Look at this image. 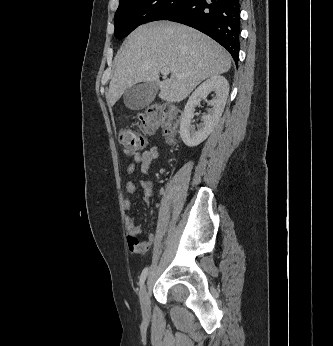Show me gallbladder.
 Instances as JSON below:
<instances>
[{
    "label": "gallbladder",
    "instance_id": "gallbladder-1",
    "mask_svg": "<svg viewBox=\"0 0 333 346\" xmlns=\"http://www.w3.org/2000/svg\"><path fill=\"white\" fill-rule=\"evenodd\" d=\"M158 90L159 86L154 82L133 85L124 92V104L131 110H141L154 101Z\"/></svg>",
    "mask_w": 333,
    "mask_h": 346
}]
</instances>
